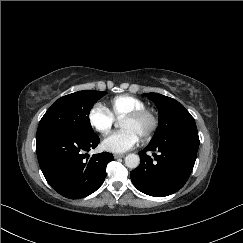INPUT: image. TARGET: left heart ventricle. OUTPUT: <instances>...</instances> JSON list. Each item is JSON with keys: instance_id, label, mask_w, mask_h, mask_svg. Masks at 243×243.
<instances>
[{"instance_id": "left-heart-ventricle-1", "label": "left heart ventricle", "mask_w": 243, "mask_h": 243, "mask_svg": "<svg viewBox=\"0 0 243 243\" xmlns=\"http://www.w3.org/2000/svg\"><path fill=\"white\" fill-rule=\"evenodd\" d=\"M120 126L122 129H130L136 133L139 139H141L148 131L150 122L148 119H142L138 121L122 119Z\"/></svg>"}]
</instances>
